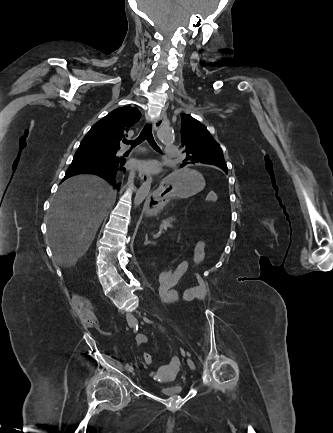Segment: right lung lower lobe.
<instances>
[{"label": "right lung lower lobe", "instance_id": "right-lung-lower-lobe-1", "mask_svg": "<svg viewBox=\"0 0 333 433\" xmlns=\"http://www.w3.org/2000/svg\"><path fill=\"white\" fill-rule=\"evenodd\" d=\"M81 144L89 145V143L85 140H82ZM124 164L125 159L119 157L101 159L74 156L73 161L70 164L63 180L80 173H92L99 175L115 186L116 176L126 171V169L123 167ZM119 186L120 184H118L116 187L118 188Z\"/></svg>", "mask_w": 333, "mask_h": 433}]
</instances>
